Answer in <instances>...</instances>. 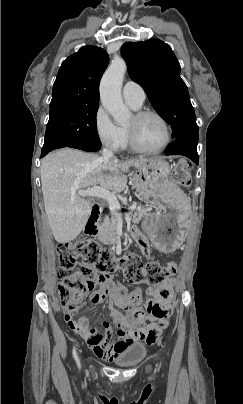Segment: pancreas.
I'll list each match as a JSON object with an SVG mask.
<instances>
[{"label": "pancreas", "mask_w": 243, "mask_h": 404, "mask_svg": "<svg viewBox=\"0 0 243 404\" xmlns=\"http://www.w3.org/2000/svg\"><path fill=\"white\" fill-rule=\"evenodd\" d=\"M147 212H149V210L146 208V206H138V208H136V212L133 214L134 223L139 224L140 220L144 218ZM120 216V212L111 214V218H107L106 222H104V224L98 228V240H100V242H103V244H115L117 222Z\"/></svg>", "instance_id": "pancreas-1"}]
</instances>
